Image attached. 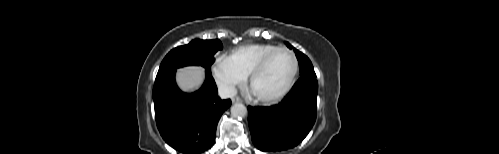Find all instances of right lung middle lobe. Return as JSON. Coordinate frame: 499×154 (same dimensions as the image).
I'll list each match as a JSON object with an SVG mask.
<instances>
[{"label":"right lung middle lobe","instance_id":"1","mask_svg":"<svg viewBox=\"0 0 499 154\" xmlns=\"http://www.w3.org/2000/svg\"><path fill=\"white\" fill-rule=\"evenodd\" d=\"M222 48V43L218 39H195L187 45L174 48L165 56L157 76L188 65H201L210 69L215 61L214 54Z\"/></svg>","mask_w":499,"mask_h":154}]
</instances>
